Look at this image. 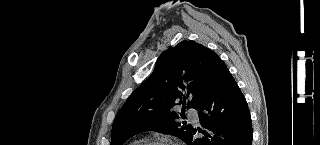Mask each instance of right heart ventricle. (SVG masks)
<instances>
[{
    "label": "right heart ventricle",
    "instance_id": "obj_1",
    "mask_svg": "<svg viewBox=\"0 0 320 145\" xmlns=\"http://www.w3.org/2000/svg\"><path fill=\"white\" fill-rule=\"evenodd\" d=\"M142 143L141 140H133L132 142L129 143V145H140Z\"/></svg>",
    "mask_w": 320,
    "mask_h": 145
}]
</instances>
